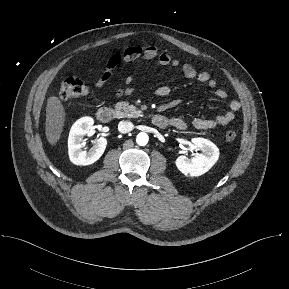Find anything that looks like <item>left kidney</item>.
Segmentation results:
<instances>
[{"label": "left kidney", "instance_id": "5707ae66", "mask_svg": "<svg viewBox=\"0 0 289 289\" xmlns=\"http://www.w3.org/2000/svg\"><path fill=\"white\" fill-rule=\"evenodd\" d=\"M192 143L202 151L192 158L184 155L176 159V166L184 175L196 177L206 173L219 158L218 147L208 139L193 138Z\"/></svg>", "mask_w": 289, "mask_h": 289}]
</instances>
